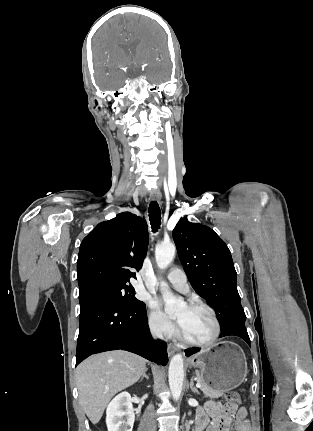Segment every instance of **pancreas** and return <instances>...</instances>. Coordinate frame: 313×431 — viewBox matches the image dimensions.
Returning a JSON list of instances; mask_svg holds the SVG:
<instances>
[{
  "instance_id": "cf45deb5",
  "label": "pancreas",
  "mask_w": 313,
  "mask_h": 431,
  "mask_svg": "<svg viewBox=\"0 0 313 431\" xmlns=\"http://www.w3.org/2000/svg\"><path fill=\"white\" fill-rule=\"evenodd\" d=\"M197 376H198V382H200V383H201V387H200V389H201V391L203 392V394H204V396H205V397H209V398H219V397H221V396L223 395V392H222V391L213 390L212 388L208 387L206 384H204V383L201 381V379L199 378V375H198V374H197Z\"/></svg>"
}]
</instances>
